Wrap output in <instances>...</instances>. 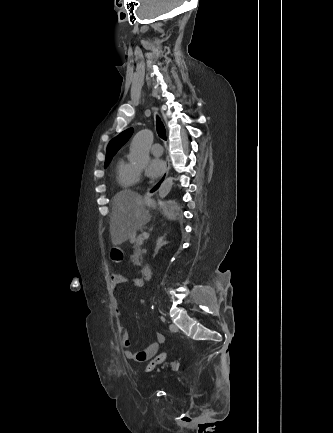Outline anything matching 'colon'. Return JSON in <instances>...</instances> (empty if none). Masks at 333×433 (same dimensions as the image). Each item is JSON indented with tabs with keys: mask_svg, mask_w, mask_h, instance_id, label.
Listing matches in <instances>:
<instances>
[{
	"mask_svg": "<svg viewBox=\"0 0 333 433\" xmlns=\"http://www.w3.org/2000/svg\"><path fill=\"white\" fill-rule=\"evenodd\" d=\"M111 257H112V263L113 265H122L123 258H122V250L118 245H115L113 249L111 250ZM167 361L166 354H159L155 358H153L150 363L145 368L146 372L153 371L157 366L160 364H163Z\"/></svg>",
	"mask_w": 333,
	"mask_h": 433,
	"instance_id": "5ec220e1",
	"label": "colon"
}]
</instances>
